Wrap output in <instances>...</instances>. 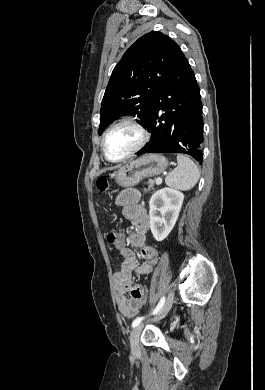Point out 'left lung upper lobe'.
Here are the masks:
<instances>
[{"label": "left lung upper lobe", "mask_w": 265, "mask_h": 390, "mask_svg": "<svg viewBox=\"0 0 265 390\" xmlns=\"http://www.w3.org/2000/svg\"><path fill=\"white\" fill-rule=\"evenodd\" d=\"M168 36L152 31L139 38L115 66L100 110L99 135L116 118L137 115L146 128L153 100L182 55Z\"/></svg>", "instance_id": "obj_1"}]
</instances>
